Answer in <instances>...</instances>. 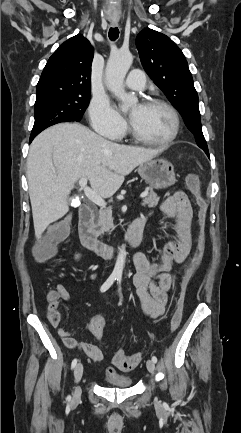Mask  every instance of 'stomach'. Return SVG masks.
<instances>
[{
  "instance_id": "obj_1",
  "label": "stomach",
  "mask_w": 241,
  "mask_h": 433,
  "mask_svg": "<svg viewBox=\"0 0 241 433\" xmlns=\"http://www.w3.org/2000/svg\"><path fill=\"white\" fill-rule=\"evenodd\" d=\"M138 173L153 189L167 188L177 181L173 164L162 158L141 164Z\"/></svg>"
}]
</instances>
